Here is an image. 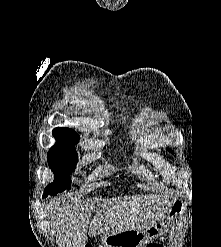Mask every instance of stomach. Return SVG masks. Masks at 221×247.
<instances>
[{
	"label": "stomach",
	"instance_id": "0dacf381",
	"mask_svg": "<svg viewBox=\"0 0 221 247\" xmlns=\"http://www.w3.org/2000/svg\"><path fill=\"white\" fill-rule=\"evenodd\" d=\"M186 211V204L181 200L174 201L166 213L147 228L120 230L101 238L104 247H143L147 240L162 235L174 221Z\"/></svg>",
	"mask_w": 221,
	"mask_h": 247
}]
</instances>
